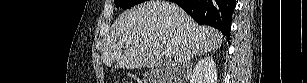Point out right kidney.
<instances>
[{
	"label": "right kidney",
	"mask_w": 307,
	"mask_h": 83,
	"mask_svg": "<svg viewBox=\"0 0 307 83\" xmlns=\"http://www.w3.org/2000/svg\"><path fill=\"white\" fill-rule=\"evenodd\" d=\"M217 69L211 56L200 59L194 67L190 83H216Z\"/></svg>",
	"instance_id": "obj_1"
}]
</instances>
